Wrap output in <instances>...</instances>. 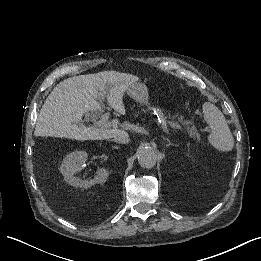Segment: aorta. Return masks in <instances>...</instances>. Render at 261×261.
Listing matches in <instances>:
<instances>
[{"instance_id": "762f6f07", "label": "aorta", "mask_w": 261, "mask_h": 261, "mask_svg": "<svg viewBox=\"0 0 261 261\" xmlns=\"http://www.w3.org/2000/svg\"><path fill=\"white\" fill-rule=\"evenodd\" d=\"M157 161V155L153 148L143 147L138 152V162L143 168H152Z\"/></svg>"}]
</instances>
